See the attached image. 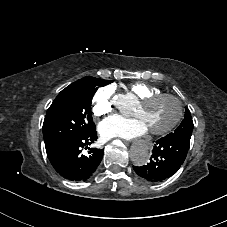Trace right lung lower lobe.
<instances>
[{
	"mask_svg": "<svg viewBox=\"0 0 227 227\" xmlns=\"http://www.w3.org/2000/svg\"><path fill=\"white\" fill-rule=\"evenodd\" d=\"M96 139V129H90L46 148L47 156L55 170L64 178L85 181L92 176L103 157V149L88 148ZM83 148H88V154H82Z\"/></svg>",
	"mask_w": 227,
	"mask_h": 227,
	"instance_id": "98d812e1",
	"label": "right lung lower lobe"
}]
</instances>
